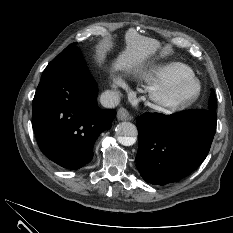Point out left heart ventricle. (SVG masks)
I'll return each mask as SVG.
<instances>
[{
    "instance_id": "obj_1",
    "label": "left heart ventricle",
    "mask_w": 233,
    "mask_h": 233,
    "mask_svg": "<svg viewBox=\"0 0 233 233\" xmlns=\"http://www.w3.org/2000/svg\"><path fill=\"white\" fill-rule=\"evenodd\" d=\"M192 91H193V88H192V87H187V88L184 89L183 93H184L185 95H188V94H190Z\"/></svg>"
}]
</instances>
